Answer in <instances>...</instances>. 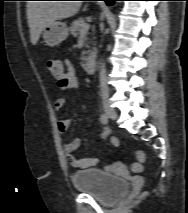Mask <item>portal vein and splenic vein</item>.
<instances>
[{"label": "portal vein and splenic vein", "mask_w": 188, "mask_h": 213, "mask_svg": "<svg viewBox=\"0 0 188 213\" xmlns=\"http://www.w3.org/2000/svg\"><path fill=\"white\" fill-rule=\"evenodd\" d=\"M88 29H89V24H87V23L84 24L81 28V34L86 33L88 31Z\"/></svg>", "instance_id": "1"}]
</instances>
